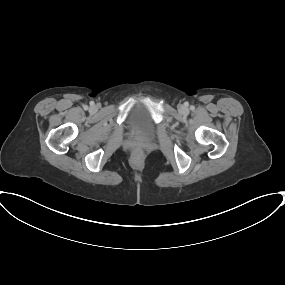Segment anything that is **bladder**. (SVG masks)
<instances>
[{"label":"bladder","mask_w":285,"mask_h":285,"mask_svg":"<svg viewBox=\"0 0 285 285\" xmlns=\"http://www.w3.org/2000/svg\"><path fill=\"white\" fill-rule=\"evenodd\" d=\"M129 125L136 135L144 138L152 137L155 133L152 117L142 105H137L130 111Z\"/></svg>","instance_id":"1"}]
</instances>
